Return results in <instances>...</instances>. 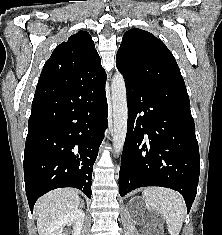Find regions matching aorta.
<instances>
[{
	"label": "aorta",
	"mask_w": 222,
	"mask_h": 235,
	"mask_svg": "<svg viewBox=\"0 0 222 235\" xmlns=\"http://www.w3.org/2000/svg\"><path fill=\"white\" fill-rule=\"evenodd\" d=\"M113 106V149L119 154L124 146L127 134L128 108L125 81L120 73L113 76L111 83Z\"/></svg>",
	"instance_id": "762f6f07"
}]
</instances>
